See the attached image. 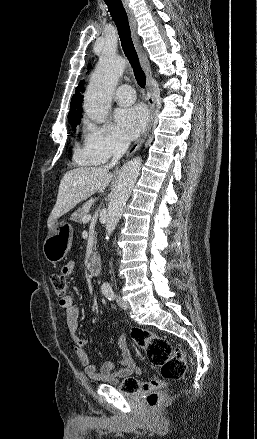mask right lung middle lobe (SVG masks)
<instances>
[{
	"instance_id": "1",
	"label": "right lung middle lobe",
	"mask_w": 257,
	"mask_h": 439,
	"mask_svg": "<svg viewBox=\"0 0 257 439\" xmlns=\"http://www.w3.org/2000/svg\"><path fill=\"white\" fill-rule=\"evenodd\" d=\"M81 118H82L81 113H69L68 114V121L73 128H75L77 126V124H80Z\"/></svg>"
}]
</instances>
